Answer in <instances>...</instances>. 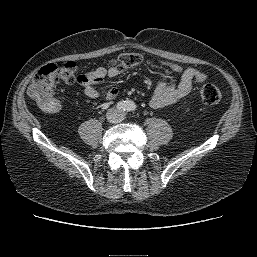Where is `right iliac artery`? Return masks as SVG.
<instances>
[{
	"mask_svg": "<svg viewBox=\"0 0 257 257\" xmlns=\"http://www.w3.org/2000/svg\"><path fill=\"white\" fill-rule=\"evenodd\" d=\"M125 106H126V104H125L124 102H119V103L117 104V108H118V110H120V111H124V110H125Z\"/></svg>",
	"mask_w": 257,
	"mask_h": 257,
	"instance_id": "82829eb1",
	"label": "right iliac artery"
}]
</instances>
